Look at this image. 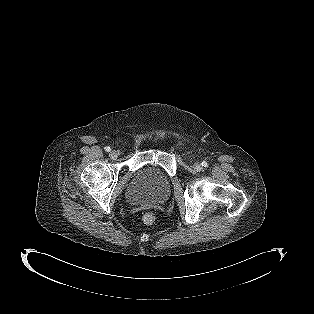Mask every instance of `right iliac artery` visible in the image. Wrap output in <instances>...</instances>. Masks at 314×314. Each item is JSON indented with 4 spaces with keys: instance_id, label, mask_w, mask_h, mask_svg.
I'll list each match as a JSON object with an SVG mask.
<instances>
[{
    "instance_id": "right-iliac-artery-1",
    "label": "right iliac artery",
    "mask_w": 314,
    "mask_h": 314,
    "mask_svg": "<svg viewBox=\"0 0 314 314\" xmlns=\"http://www.w3.org/2000/svg\"><path fill=\"white\" fill-rule=\"evenodd\" d=\"M104 149H105V151H107V152H109V151L111 150V148H110L109 146L105 147Z\"/></svg>"
}]
</instances>
